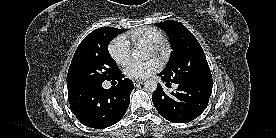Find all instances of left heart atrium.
<instances>
[{"label": "left heart atrium", "instance_id": "1", "mask_svg": "<svg viewBox=\"0 0 276 138\" xmlns=\"http://www.w3.org/2000/svg\"><path fill=\"white\" fill-rule=\"evenodd\" d=\"M160 69V63L155 60L144 62L130 61L126 64L124 72L132 79H144L154 74Z\"/></svg>", "mask_w": 276, "mask_h": 138}]
</instances>
